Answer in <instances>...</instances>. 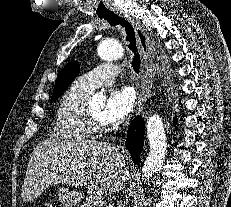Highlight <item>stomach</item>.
<instances>
[{"instance_id":"0dacf381","label":"stomach","mask_w":231,"mask_h":207,"mask_svg":"<svg viewBox=\"0 0 231 207\" xmlns=\"http://www.w3.org/2000/svg\"><path fill=\"white\" fill-rule=\"evenodd\" d=\"M58 201L62 207H76L81 201V197L78 192L62 187L58 190Z\"/></svg>"}]
</instances>
